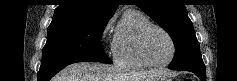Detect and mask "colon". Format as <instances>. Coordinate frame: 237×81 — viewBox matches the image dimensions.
<instances>
[{"label":"colon","mask_w":237,"mask_h":81,"mask_svg":"<svg viewBox=\"0 0 237 81\" xmlns=\"http://www.w3.org/2000/svg\"><path fill=\"white\" fill-rule=\"evenodd\" d=\"M183 81H191L189 78H185Z\"/></svg>","instance_id":"1"}]
</instances>
